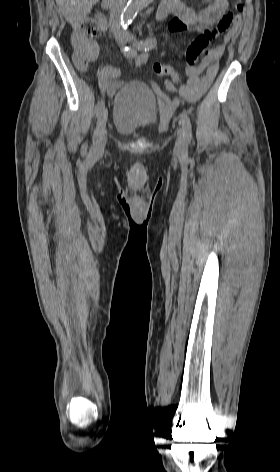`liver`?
<instances>
[{"label":"liver","mask_w":280,"mask_h":472,"mask_svg":"<svg viewBox=\"0 0 280 472\" xmlns=\"http://www.w3.org/2000/svg\"><path fill=\"white\" fill-rule=\"evenodd\" d=\"M97 2L98 0H56L60 11L73 28L84 23Z\"/></svg>","instance_id":"liver-1"}]
</instances>
